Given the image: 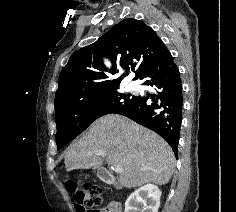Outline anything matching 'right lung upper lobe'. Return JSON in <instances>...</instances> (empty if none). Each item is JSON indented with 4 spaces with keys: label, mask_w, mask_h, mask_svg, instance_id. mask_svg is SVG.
Masks as SVG:
<instances>
[{
    "label": "right lung upper lobe",
    "mask_w": 236,
    "mask_h": 212,
    "mask_svg": "<svg viewBox=\"0 0 236 212\" xmlns=\"http://www.w3.org/2000/svg\"><path fill=\"white\" fill-rule=\"evenodd\" d=\"M165 44L155 31L140 20L124 19L93 44L74 52L59 75L55 112L84 97L119 88L125 74L111 80L116 62L126 71L135 72L134 80L148 69ZM113 61L112 69L103 57Z\"/></svg>",
    "instance_id": "obj_1"
}]
</instances>
